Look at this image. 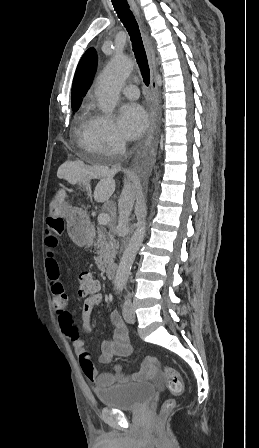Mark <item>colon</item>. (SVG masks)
Instances as JSON below:
<instances>
[{
  "instance_id": "obj_1",
  "label": "colon",
  "mask_w": 259,
  "mask_h": 448,
  "mask_svg": "<svg viewBox=\"0 0 259 448\" xmlns=\"http://www.w3.org/2000/svg\"><path fill=\"white\" fill-rule=\"evenodd\" d=\"M78 294L82 297L93 296L99 293V284L90 273L83 272L79 274L77 279ZM163 373L166 378L169 391L174 396H179L183 393L184 384L180 373L173 367L165 365ZM175 406V400L170 398L166 400L162 406L160 413V423H162L170 411Z\"/></svg>"
}]
</instances>
